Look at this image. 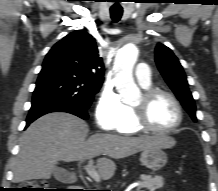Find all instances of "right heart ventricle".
Returning <instances> with one entry per match:
<instances>
[{
	"label": "right heart ventricle",
	"instance_id": "right-heart-ventricle-1",
	"mask_svg": "<svg viewBox=\"0 0 218 191\" xmlns=\"http://www.w3.org/2000/svg\"><path fill=\"white\" fill-rule=\"evenodd\" d=\"M149 87L150 85L145 86V88H149ZM117 131L123 134H137L141 131L135 123L134 112L130 106H127L126 118L121 122V124L117 128Z\"/></svg>",
	"mask_w": 218,
	"mask_h": 191
}]
</instances>
